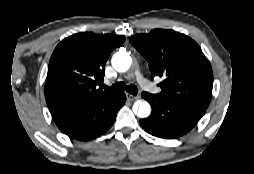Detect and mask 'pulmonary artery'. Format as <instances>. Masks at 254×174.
I'll use <instances>...</instances> for the list:
<instances>
[{"mask_svg":"<svg viewBox=\"0 0 254 174\" xmlns=\"http://www.w3.org/2000/svg\"><path fill=\"white\" fill-rule=\"evenodd\" d=\"M136 80L143 89H150L155 93L158 92V88L152 86L150 82L146 78H144L139 71L136 72Z\"/></svg>","mask_w":254,"mask_h":174,"instance_id":"obj_1","label":"pulmonary artery"}]
</instances>
